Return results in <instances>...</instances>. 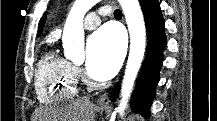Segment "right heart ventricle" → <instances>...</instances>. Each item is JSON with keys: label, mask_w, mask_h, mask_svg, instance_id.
Instances as JSON below:
<instances>
[{"label": "right heart ventricle", "mask_w": 217, "mask_h": 121, "mask_svg": "<svg viewBox=\"0 0 217 121\" xmlns=\"http://www.w3.org/2000/svg\"><path fill=\"white\" fill-rule=\"evenodd\" d=\"M77 74L73 65L54 51L44 54L36 68L35 91L42 103L61 102L76 93Z\"/></svg>", "instance_id": "1"}]
</instances>
